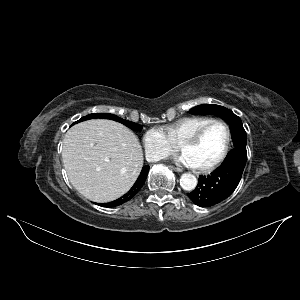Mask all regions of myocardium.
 I'll return each mask as SVG.
<instances>
[{
    "label": "myocardium",
    "instance_id": "1",
    "mask_svg": "<svg viewBox=\"0 0 300 300\" xmlns=\"http://www.w3.org/2000/svg\"><path fill=\"white\" fill-rule=\"evenodd\" d=\"M214 124H220L226 130L227 139H226L225 148H224L222 154L220 155V157L217 160H215L214 162H212L206 166H194L195 170L200 173L210 172V171L216 169L217 167H219L226 160V158L230 152L231 140H232V134H231V129H230L229 125L223 120L213 119V120L209 121L208 123H206L205 125H203L202 127H200L199 129H197L180 146L181 151H184L185 148L197 144L200 141V139L202 138V136L204 135V133L206 132V130Z\"/></svg>",
    "mask_w": 300,
    "mask_h": 300
}]
</instances>
